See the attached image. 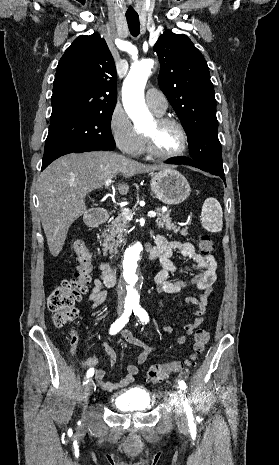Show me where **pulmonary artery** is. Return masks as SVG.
<instances>
[{
	"label": "pulmonary artery",
	"instance_id": "1",
	"mask_svg": "<svg viewBox=\"0 0 279 465\" xmlns=\"http://www.w3.org/2000/svg\"><path fill=\"white\" fill-rule=\"evenodd\" d=\"M145 100L148 107L158 114H163L168 107L166 97L157 89L147 90Z\"/></svg>",
	"mask_w": 279,
	"mask_h": 465
}]
</instances>
